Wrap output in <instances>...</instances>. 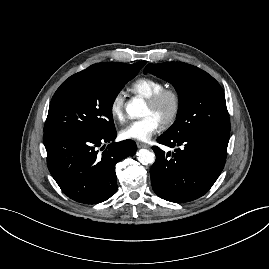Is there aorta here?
<instances>
[{
    "instance_id": "aorta-1",
    "label": "aorta",
    "mask_w": 269,
    "mask_h": 269,
    "mask_svg": "<svg viewBox=\"0 0 269 269\" xmlns=\"http://www.w3.org/2000/svg\"><path fill=\"white\" fill-rule=\"evenodd\" d=\"M146 110V104L143 99L133 98L126 106V112L132 118L142 117ZM137 159L143 165L153 164L155 154L148 149H140L137 152Z\"/></svg>"
}]
</instances>
